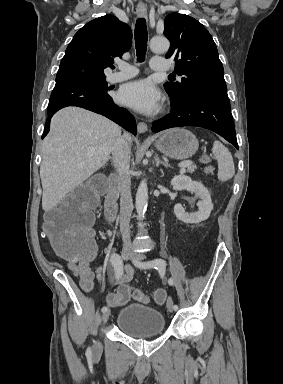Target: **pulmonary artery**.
Returning <instances> with one entry per match:
<instances>
[{
  "mask_svg": "<svg viewBox=\"0 0 283 384\" xmlns=\"http://www.w3.org/2000/svg\"><path fill=\"white\" fill-rule=\"evenodd\" d=\"M117 67L119 69L117 72L111 73L107 76V81L109 83H117L127 80L138 73V70L135 67L126 62H119ZM150 70L170 71L171 65L169 61H151Z\"/></svg>",
  "mask_w": 283,
  "mask_h": 384,
  "instance_id": "obj_1",
  "label": "pulmonary artery"
}]
</instances>
